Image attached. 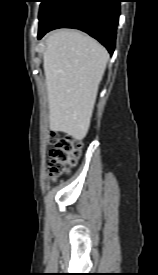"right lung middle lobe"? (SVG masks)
<instances>
[{
	"label": "right lung middle lobe",
	"mask_w": 158,
	"mask_h": 275,
	"mask_svg": "<svg viewBox=\"0 0 158 275\" xmlns=\"http://www.w3.org/2000/svg\"><path fill=\"white\" fill-rule=\"evenodd\" d=\"M58 0H41L39 10V21L47 14V12L56 4Z\"/></svg>",
	"instance_id": "obj_1"
}]
</instances>
